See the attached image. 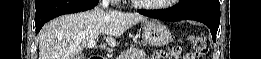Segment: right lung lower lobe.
Wrapping results in <instances>:
<instances>
[{
  "instance_id": "98d812e1",
  "label": "right lung lower lobe",
  "mask_w": 261,
  "mask_h": 59,
  "mask_svg": "<svg viewBox=\"0 0 261 59\" xmlns=\"http://www.w3.org/2000/svg\"><path fill=\"white\" fill-rule=\"evenodd\" d=\"M98 0H40L35 3V26L39 33L42 26L49 20L63 14H70L92 9Z\"/></svg>"
}]
</instances>
